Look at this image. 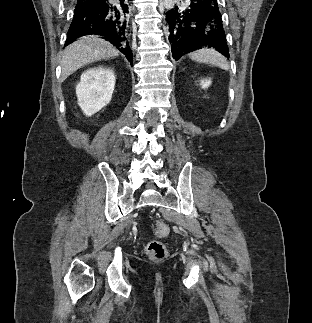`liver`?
I'll return each mask as SVG.
<instances>
[{
	"label": "liver",
	"instance_id": "6515ba94",
	"mask_svg": "<svg viewBox=\"0 0 312 323\" xmlns=\"http://www.w3.org/2000/svg\"><path fill=\"white\" fill-rule=\"evenodd\" d=\"M119 54V50H116L110 42L102 40L100 36L78 38L77 42L67 46L63 52L61 82H64L70 74H74L85 64H92V62L105 60V58H113V56H119Z\"/></svg>",
	"mask_w": 312,
	"mask_h": 323
}]
</instances>
